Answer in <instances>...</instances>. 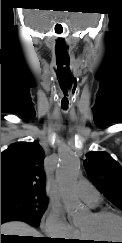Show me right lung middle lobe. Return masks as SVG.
I'll return each instance as SVG.
<instances>
[{
  "instance_id": "1",
  "label": "right lung middle lobe",
  "mask_w": 122,
  "mask_h": 243,
  "mask_svg": "<svg viewBox=\"0 0 122 243\" xmlns=\"http://www.w3.org/2000/svg\"><path fill=\"white\" fill-rule=\"evenodd\" d=\"M47 205L48 199L46 197L32 195L1 196V209L23 212L39 222Z\"/></svg>"
}]
</instances>
